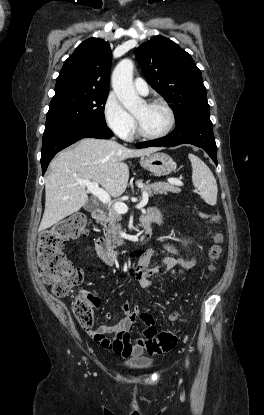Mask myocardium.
Returning <instances> with one entry per match:
<instances>
[{
    "label": "myocardium",
    "instance_id": "myocardium-1",
    "mask_svg": "<svg viewBox=\"0 0 264 415\" xmlns=\"http://www.w3.org/2000/svg\"><path fill=\"white\" fill-rule=\"evenodd\" d=\"M145 104L148 105V106H161V107H163L169 115V123H168V125H167V127L165 128L164 131H162L158 134H147L142 130L138 119L134 116L136 135L138 137L142 138V139H147V140H157V139L164 138L165 136H167L172 131V129L175 125L176 115H175L174 110L172 109V107L166 101H164L162 99L148 100V101L145 102Z\"/></svg>",
    "mask_w": 264,
    "mask_h": 415
}]
</instances>
